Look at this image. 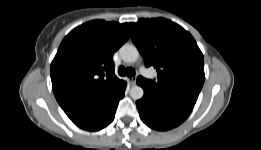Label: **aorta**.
<instances>
[{
	"label": "aorta",
	"instance_id": "aorta-1",
	"mask_svg": "<svg viewBox=\"0 0 261 150\" xmlns=\"http://www.w3.org/2000/svg\"><path fill=\"white\" fill-rule=\"evenodd\" d=\"M120 56L123 61L127 63H133L137 61L139 57V52L134 45L124 44L119 50ZM144 90L138 85H134L130 89V96L134 100H139L143 97Z\"/></svg>",
	"mask_w": 261,
	"mask_h": 150
}]
</instances>
